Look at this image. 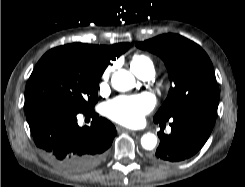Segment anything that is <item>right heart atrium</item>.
<instances>
[{
    "mask_svg": "<svg viewBox=\"0 0 245 187\" xmlns=\"http://www.w3.org/2000/svg\"><path fill=\"white\" fill-rule=\"evenodd\" d=\"M109 73H110V69H108V70L106 71V75H109ZM107 88H108L107 81H106V80L102 81V82L100 83V86H99L100 91H101V92H105V91L107 90Z\"/></svg>",
    "mask_w": 245,
    "mask_h": 187,
    "instance_id": "d8ad5b80",
    "label": "right heart atrium"
}]
</instances>
